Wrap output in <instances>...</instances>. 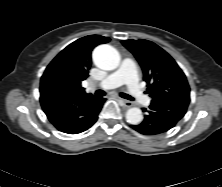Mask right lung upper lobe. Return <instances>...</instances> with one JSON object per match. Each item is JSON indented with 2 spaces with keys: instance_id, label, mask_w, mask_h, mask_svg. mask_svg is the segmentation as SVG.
Wrapping results in <instances>:
<instances>
[{
  "instance_id": "1",
  "label": "right lung upper lobe",
  "mask_w": 222,
  "mask_h": 187,
  "mask_svg": "<svg viewBox=\"0 0 222 187\" xmlns=\"http://www.w3.org/2000/svg\"><path fill=\"white\" fill-rule=\"evenodd\" d=\"M109 41L108 37L89 35L71 43L48 65L41 77V86L52 82L74 95H91L85 93L81 82L89 76L92 50L97 45Z\"/></svg>"
}]
</instances>
